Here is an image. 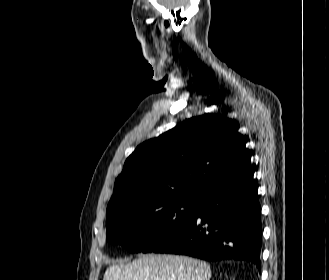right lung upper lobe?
<instances>
[{
  "label": "right lung upper lobe",
  "instance_id": "right-lung-upper-lobe-1",
  "mask_svg": "<svg viewBox=\"0 0 329 280\" xmlns=\"http://www.w3.org/2000/svg\"><path fill=\"white\" fill-rule=\"evenodd\" d=\"M246 142L223 115L187 119L135 149L107 208L148 196L200 198L213 182L251 159Z\"/></svg>",
  "mask_w": 329,
  "mask_h": 280
}]
</instances>
